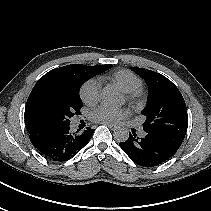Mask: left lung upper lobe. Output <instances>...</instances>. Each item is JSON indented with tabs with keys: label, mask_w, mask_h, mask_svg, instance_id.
<instances>
[{
	"label": "left lung upper lobe",
	"mask_w": 211,
	"mask_h": 211,
	"mask_svg": "<svg viewBox=\"0 0 211 211\" xmlns=\"http://www.w3.org/2000/svg\"><path fill=\"white\" fill-rule=\"evenodd\" d=\"M146 80L149 94L142 114L143 129L148 135L177 151L186 135L188 114L178 88L165 76L145 68H131Z\"/></svg>",
	"instance_id": "obj_1"
}]
</instances>
